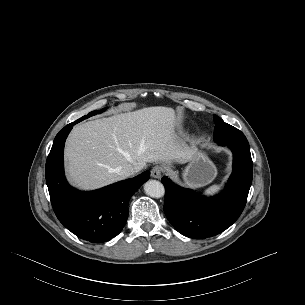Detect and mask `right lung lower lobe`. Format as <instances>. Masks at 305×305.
Returning a JSON list of instances; mask_svg holds the SVG:
<instances>
[{
    "label": "right lung lower lobe",
    "instance_id": "obj_1",
    "mask_svg": "<svg viewBox=\"0 0 305 305\" xmlns=\"http://www.w3.org/2000/svg\"><path fill=\"white\" fill-rule=\"evenodd\" d=\"M82 120L68 124L56 135L46 161V183L60 222L81 239L103 243L124 227L129 199L149 179L150 171L91 192L72 188L64 176V144L72 127Z\"/></svg>",
    "mask_w": 305,
    "mask_h": 305
}]
</instances>
